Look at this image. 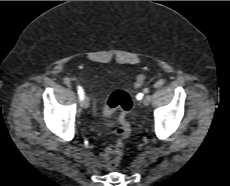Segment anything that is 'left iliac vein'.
Returning <instances> with one entry per match:
<instances>
[{"mask_svg":"<svg viewBox=\"0 0 230 186\" xmlns=\"http://www.w3.org/2000/svg\"><path fill=\"white\" fill-rule=\"evenodd\" d=\"M150 101H151L150 96H146V97L142 100V104H143L144 106H148L149 103H150Z\"/></svg>","mask_w":230,"mask_h":186,"instance_id":"4c4485c4","label":"left iliac vein"}]
</instances>
